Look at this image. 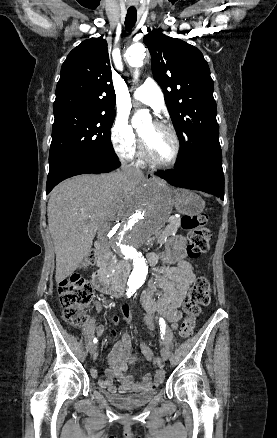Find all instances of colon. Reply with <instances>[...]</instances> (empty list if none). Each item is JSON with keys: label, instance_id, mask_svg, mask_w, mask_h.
<instances>
[{"label": "colon", "instance_id": "5ec220e1", "mask_svg": "<svg viewBox=\"0 0 277 438\" xmlns=\"http://www.w3.org/2000/svg\"><path fill=\"white\" fill-rule=\"evenodd\" d=\"M208 221L206 214L186 215L181 219V228L189 236L187 255L190 258L198 259L207 251L211 238V231L207 228ZM98 253L97 248H90L84 266L89 265L88 261H97ZM57 292L64 316L74 326H83L87 320L86 310L93 294L89 282L82 276L72 275L60 281ZM210 295L209 279L204 276L197 277L190 286L185 301L186 319L179 329L181 338L186 339L191 336L195 317L200 313L201 308L209 303ZM153 362L155 366L160 367L163 359L161 356H156Z\"/></svg>", "mask_w": 277, "mask_h": 438}]
</instances>
